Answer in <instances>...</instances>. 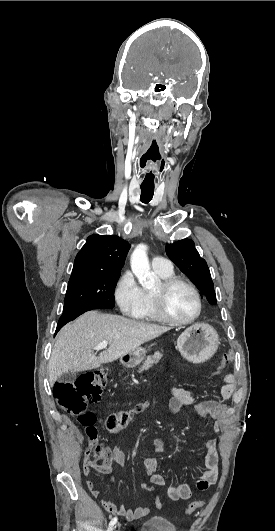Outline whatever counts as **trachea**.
I'll list each match as a JSON object with an SVG mask.
<instances>
[{"mask_svg":"<svg viewBox=\"0 0 275 531\" xmlns=\"http://www.w3.org/2000/svg\"><path fill=\"white\" fill-rule=\"evenodd\" d=\"M154 194V187L150 186H141V201L143 203H148Z\"/></svg>","mask_w":275,"mask_h":531,"instance_id":"3493384b","label":"trachea"}]
</instances>
